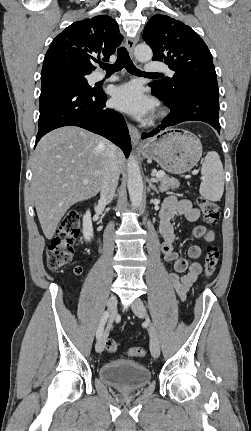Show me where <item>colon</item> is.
Returning a JSON list of instances; mask_svg holds the SVG:
<instances>
[{
    "mask_svg": "<svg viewBox=\"0 0 251 431\" xmlns=\"http://www.w3.org/2000/svg\"><path fill=\"white\" fill-rule=\"evenodd\" d=\"M197 203L204 221L210 226H215L220 217L218 205L204 197H199ZM80 219L81 212L76 208L70 209L64 215L55 237L47 248V266L50 270L56 271L71 261L74 253L73 244L80 235ZM219 258V249L214 245L208 246L204 263V274L207 280L215 274ZM74 273L76 275L81 274L82 267L76 266ZM105 348L109 353H115L118 350V344L115 340L109 339ZM127 354L130 357H145L147 352L142 347H131Z\"/></svg>",
    "mask_w": 251,
    "mask_h": 431,
    "instance_id": "colon-1",
    "label": "colon"
}]
</instances>
